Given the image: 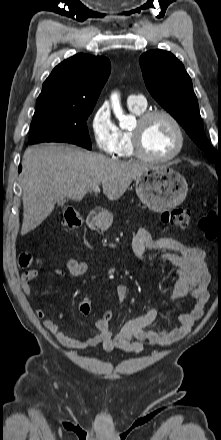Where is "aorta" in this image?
Returning a JSON list of instances; mask_svg holds the SVG:
<instances>
[{
    "label": "aorta",
    "mask_w": 221,
    "mask_h": 440,
    "mask_svg": "<svg viewBox=\"0 0 221 440\" xmlns=\"http://www.w3.org/2000/svg\"><path fill=\"white\" fill-rule=\"evenodd\" d=\"M112 108L115 117L119 120V124L121 127H126L133 120V117L130 115H126L123 112V109L120 105L119 97L116 93L111 96Z\"/></svg>",
    "instance_id": "aorta-1"
}]
</instances>
